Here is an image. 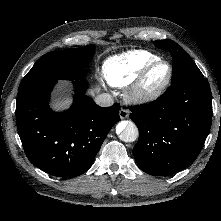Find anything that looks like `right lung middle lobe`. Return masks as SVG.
<instances>
[{
  "instance_id": "right-lung-middle-lobe-1",
  "label": "right lung middle lobe",
  "mask_w": 221,
  "mask_h": 221,
  "mask_svg": "<svg viewBox=\"0 0 221 221\" xmlns=\"http://www.w3.org/2000/svg\"><path fill=\"white\" fill-rule=\"evenodd\" d=\"M94 52V45L49 52L32 67L19 89L46 81L80 78L92 60Z\"/></svg>"
}]
</instances>
